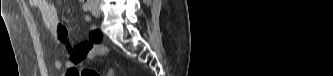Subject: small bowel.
Masks as SVG:
<instances>
[{"instance_id": "c3829d8e", "label": "small bowel", "mask_w": 333, "mask_h": 76, "mask_svg": "<svg viewBox=\"0 0 333 76\" xmlns=\"http://www.w3.org/2000/svg\"><path fill=\"white\" fill-rule=\"evenodd\" d=\"M35 7L41 14L47 29L64 38L66 28L60 22L55 6L47 0H34ZM86 22L90 21L89 16H85ZM104 41V36L100 35L95 26L90 28L89 38L84 41H78L74 44H66L64 51L67 55L66 61L56 60L54 67L57 70L66 69L64 76H81L79 63L92 59L96 55L103 54L106 49L99 42ZM83 76V75H82Z\"/></svg>"}]
</instances>
